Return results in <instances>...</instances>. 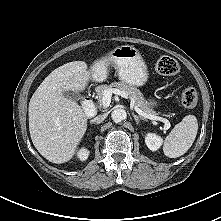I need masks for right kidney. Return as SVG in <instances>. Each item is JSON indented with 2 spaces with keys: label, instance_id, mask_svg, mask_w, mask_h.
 Returning a JSON list of instances; mask_svg holds the SVG:
<instances>
[{
  "label": "right kidney",
  "instance_id": "obj_1",
  "mask_svg": "<svg viewBox=\"0 0 221 221\" xmlns=\"http://www.w3.org/2000/svg\"><path fill=\"white\" fill-rule=\"evenodd\" d=\"M78 155V158L81 160V161H84L88 158L89 156V151L85 148H82L79 150V152L77 153Z\"/></svg>",
  "mask_w": 221,
  "mask_h": 221
}]
</instances>
